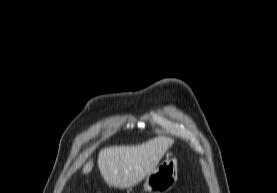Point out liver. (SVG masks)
I'll list each match as a JSON object with an SVG mask.
<instances>
[{"mask_svg":"<svg viewBox=\"0 0 277 193\" xmlns=\"http://www.w3.org/2000/svg\"><path fill=\"white\" fill-rule=\"evenodd\" d=\"M174 140L156 137L137 146H114L102 149L98 156V167L104 181L116 188H128L138 184L159 164ZM93 167L90 160L83 173L88 174Z\"/></svg>","mask_w":277,"mask_h":193,"instance_id":"obj_1","label":"liver"}]
</instances>
